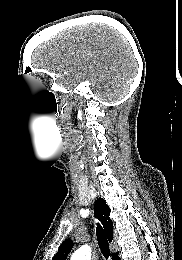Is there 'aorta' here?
Wrapping results in <instances>:
<instances>
[{"mask_svg":"<svg viewBox=\"0 0 182 260\" xmlns=\"http://www.w3.org/2000/svg\"><path fill=\"white\" fill-rule=\"evenodd\" d=\"M70 260H91V247L88 245L80 247L72 254Z\"/></svg>","mask_w":182,"mask_h":260,"instance_id":"obj_1","label":"aorta"}]
</instances>
